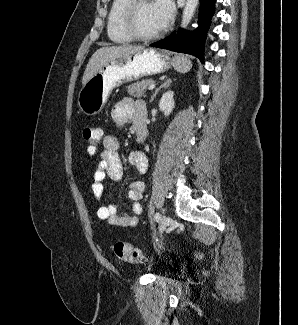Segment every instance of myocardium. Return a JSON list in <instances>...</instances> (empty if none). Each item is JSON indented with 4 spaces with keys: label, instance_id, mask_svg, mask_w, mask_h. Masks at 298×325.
Here are the masks:
<instances>
[{
    "label": "myocardium",
    "instance_id": "myocardium-1",
    "mask_svg": "<svg viewBox=\"0 0 298 325\" xmlns=\"http://www.w3.org/2000/svg\"><path fill=\"white\" fill-rule=\"evenodd\" d=\"M144 1H148V0L127 1L120 15V28L122 32L132 40L140 41V42H149L159 38L165 32V29L163 28L162 30L150 35H143L138 33L135 30V28L132 25L133 12L136 9V7Z\"/></svg>",
    "mask_w": 298,
    "mask_h": 325
}]
</instances>
